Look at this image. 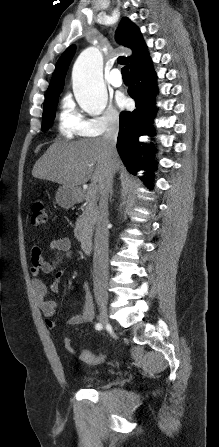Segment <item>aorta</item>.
Segmentation results:
<instances>
[{
    "label": "aorta",
    "mask_w": 219,
    "mask_h": 447,
    "mask_svg": "<svg viewBox=\"0 0 219 447\" xmlns=\"http://www.w3.org/2000/svg\"><path fill=\"white\" fill-rule=\"evenodd\" d=\"M72 81L81 109L91 115H100L106 108L108 95L103 83V58L96 47H89L79 55L73 67Z\"/></svg>",
    "instance_id": "aorta-1"
}]
</instances>
